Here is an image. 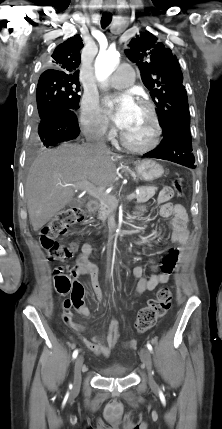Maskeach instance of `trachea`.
<instances>
[{"label":"trachea","instance_id":"trachea-1","mask_svg":"<svg viewBox=\"0 0 222 429\" xmlns=\"http://www.w3.org/2000/svg\"><path fill=\"white\" fill-rule=\"evenodd\" d=\"M112 21V14H103L101 17V26L105 29Z\"/></svg>","mask_w":222,"mask_h":429}]
</instances>
